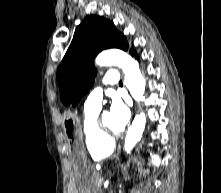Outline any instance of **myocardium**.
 <instances>
[{"instance_id": "obj_1", "label": "myocardium", "mask_w": 221, "mask_h": 193, "mask_svg": "<svg viewBox=\"0 0 221 193\" xmlns=\"http://www.w3.org/2000/svg\"><path fill=\"white\" fill-rule=\"evenodd\" d=\"M97 128L98 131L100 132V134L102 135L103 138H105L108 141H113L114 137H117L119 135V132H113L108 130L104 123H103V118L102 115L99 116L98 120H97Z\"/></svg>"}]
</instances>
